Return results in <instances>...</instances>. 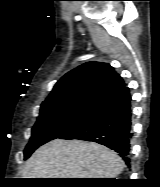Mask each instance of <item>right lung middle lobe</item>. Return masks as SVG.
Masks as SVG:
<instances>
[{
  "label": "right lung middle lobe",
  "instance_id": "obj_1",
  "mask_svg": "<svg viewBox=\"0 0 160 187\" xmlns=\"http://www.w3.org/2000/svg\"><path fill=\"white\" fill-rule=\"evenodd\" d=\"M94 102H70L59 106L40 109L31 138L24 150V159L41 145L58 138L79 123L94 108Z\"/></svg>",
  "mask_w": 160,
  "mask_h": 187
}]
</instances>
